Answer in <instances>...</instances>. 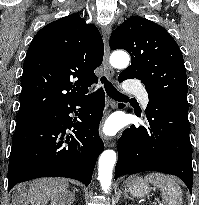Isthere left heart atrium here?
Instances as JSON below:
<instances>
[{
  "label": "left heart atrium",
  "mask_w": 199,
  "mask_h": 205,
  "mask_svg": "<svg viewBox=\"0 0 199 205\" xmlns=\"http://www.w3.org/2000/svg\"><path fill=\"white\" fill-rule=\"evenodd\" d=\"M119 129V122L116 119H110L108 120L104 127H103V132L106 135H113L115 134Z\"/></svg>",
  "instance_id": "obj_1"
}]
</instances>
